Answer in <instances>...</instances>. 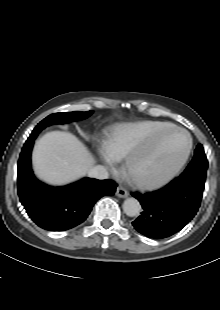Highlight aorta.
Returning <instances> with one entry per match:
<instances>
[{"label":"aorta","mask_w":220,"mask_h":310,"mask_svg":"<svg viewBox=\"0 0 220 310\" xmlns=\"http://www.w3.org/2000/svg\"><path fill=\"white\" fill-rule=\"evenodd\" d=\"M141 205L135 198H127L123 203V211L129 217H135L139 215Z\"/></svg>","instance_id":"1"}]
</instances>
